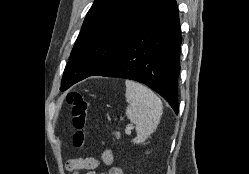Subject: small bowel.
Returning a JSON list of instances; mask_svg holds the SVG:
<instances>
[{
	"label": "small bowel",
	"mask_w": 249,
	"mask_h": 174,
	"mask_svg": "<svg viewBox=\"0 0 249 174\" xmlns=\"http://www.w3.org/2000/svg\"><path fill=\"white\" fill-rule=\"evenodd\" d=\"M101 163L110 167L108 174H124L121 168L113 166V154L110 150H104L99 158L83 157L70 159L66 163V169L72 174H80L82 171H87L86 174H96L94 170Z\"/></svg>",
	"instance_id": "1"
}]
</instances>
